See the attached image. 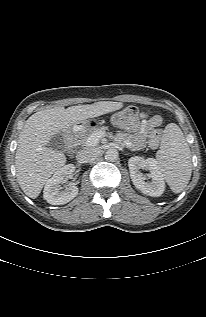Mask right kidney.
<instances>
[{
  "label": "right kidney",
  "instance_id": "1",
  "mask_svg": "<svg viewBox=\"0 0 206 317\" xmlns=\"http://www.w3.org/2000/svg\"><path fill=\"white\" fill-rule=\"evenodd\" d=\"M75 167L68 164L58 169L54 175L47 180L43 191L44 199L51 205H63L71 201L78 195V188L74 183H70L65 190H61L60 184L67 179L73 178Z\"/></svg>",
  "mask_w": 206,
  "mask_h": 317
}]
</instances>
